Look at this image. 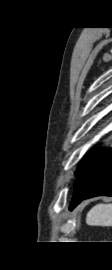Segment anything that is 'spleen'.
Masks as SVG:
<instances>
[{
    "instance_id": "spleen-1",
    "label": "spleen",
    "mask_w": 112,
    "mask_h": 270,
    "mask_svg": "<svg viewBox=\"0 0 112 270\" xmlns=\"http://www.w3.org/2000/svg\"><path fill=\"white\" fill-rule=\"evenodd\" d=\"M86 223L90 226H112V204H98L86 216Z\"/></svg>"
}]
</instances>
